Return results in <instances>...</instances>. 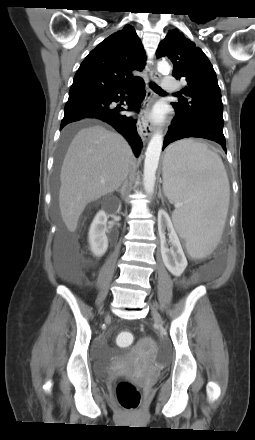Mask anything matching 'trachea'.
<instances>
[{"instance_id":"obj_1","label":"trachea","mask_w":255,"mask_h":440,"mask_svg":"<svg viewBox=\"0 0 255 440\" xmlns=\"http://www.w3.org/2000/svg\"><path fill=\"white\" fill-rule=\"evenodd\" d=\"M151 88H152V90L153 91H155L156 93H159V94H165V92L157 85V84H155V83H151Z\"/></svg>"}]
</instances>
